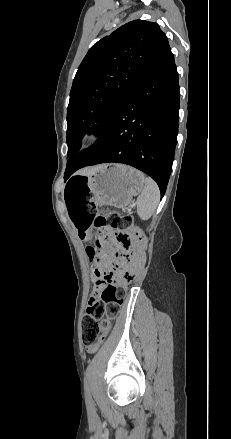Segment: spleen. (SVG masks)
Returning <instances> with one entry per match:
<instances>
[{"instance_id": "3e777b00", "label": "spleen", "mask_w": 231, "mask_h": 439, "mask_svg": "<svg viewBox=\"0 0 231 439\" xmlns=\"http://www.w3.org/2000/svg\"><path fill=\"white\" fill-rule=\"evenodd\" d=\"M160 200V190L156 182L147 177L145 186L137 198V213L142 220H148L155 212Z\"/></svg>"}]
</instances>
